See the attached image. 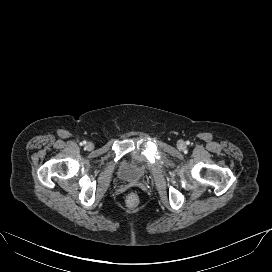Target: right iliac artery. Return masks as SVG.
<instances>
[{"label": "right iliac artery", "mask_w": 272, "mask_h": 272, "mask_svg": "<svg viewBox=\"0 0 272 272\" xmlns=\"http://www.w3.org/2000/svg\"><path fill=\"white\" fill-rule=\"evenodd\" d=\"M80 144H81V145H85V144H86V141H82Z\"/></svg>", "instance_id": "obj_1"}]
</instances>
